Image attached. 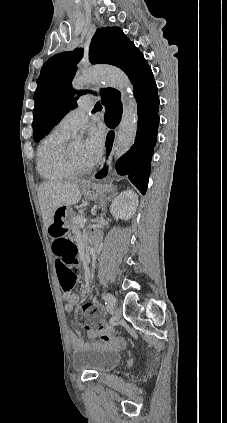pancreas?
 Masks as SVG:
<instances>
[{"label":"pancreas","instance_id":"cf45deb5","mask_svg":"<svg viewBox=\"0 0 227 423\" xmlns=\"http://www.w3.org/2000/svg\"><path fill=\"white\" fill-rule=\"evenodd\" d=\"M76 217H83V215H75L71 221V231L72 233H78V231H81V225L76 221Z\"/></svg>","mask_w":227,"mask_h":423}]
</instances>
